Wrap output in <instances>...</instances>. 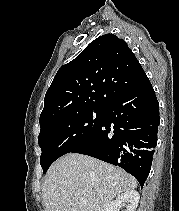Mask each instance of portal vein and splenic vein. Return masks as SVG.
<instances>
[{"instance_id": "18ae733b", "label": "portal vein and splenic vein", "mask_w": 179, "mask_h": 211, "mask_svg": "<svg viewBox=\"0 0 179 211\" xmlns=\"http://www.w3.org/2000/svg\"><path fill=\"white\" fill-rule=\"evenodd\" d=\"M81 203H86V199H80Z\"/></svg>"}]
</instances>
